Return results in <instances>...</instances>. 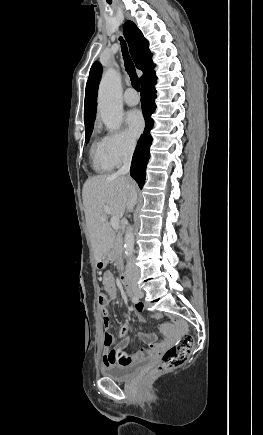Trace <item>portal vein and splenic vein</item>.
Listing matches in <instances>:
<instances>
[{
	"instance_id": "obj_1",
	"label": "portal vein and splenic vein",
	"mask_w": 263,
	"mask_h": 435,
	"mask_svg": "<svg viewBox=\"0 0 263 435\" xmlns=\"http://www.w3.org/2000/svg\"><path fill=\"white\" fill-rule=\"evenodd\" d=\"M104 211L106 214H110V210L107 206L104 207ZM104 220V218H103ZM119 218L117 216H112L110 219V224L112 226L113 229L117 230L119 228Z\"/></svg>"
}]
</instances>
